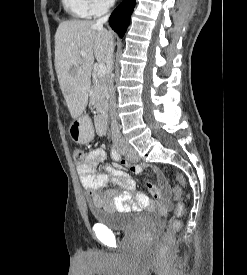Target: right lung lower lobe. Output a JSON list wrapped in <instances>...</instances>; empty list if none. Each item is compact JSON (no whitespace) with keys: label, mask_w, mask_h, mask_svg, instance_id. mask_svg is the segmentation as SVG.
<instances>
[{"label":"right lung lower lobe","mask_w":247,"mask_h":275,"mask_svg":"<svg viewBox=\"0 0 247 275\" xmlns=\"http://www.w3.org/2000/svg\"><path fill=\"white\" fill-rule=\"evenodd\" d=\"M135 7V0H124L111 14L109 24L122 38L130 22V16Z\"/></svg>","instance_id":"98d812e1"}]
</instances>
